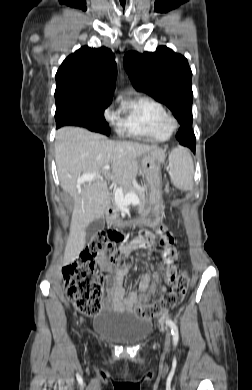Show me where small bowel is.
I'll list each match as a JSON object with an SVG mask.
<instances>
[{
	"mask_svg": "<svg viewBox=\"0 0 252 390\" xmlns=\"http://www.w3.org/2000/svg\"><path fill=\"white\" fill-rule=\"evenodd\" d=\"M144 243H157L160 245L164 256V273L168 272L170 269L176 271L174 261L178 258V251L174 245V237L171 232L165 228L160 229L158 235H154L149 231H142L138 237L128 242L122 248L129 252L135 248L141 247ZM98 264L100 268L107 273L105 277L107 296L104 301V307L118 312L133 311L139 304V295L137 292L126 293L123 281L128 274V270L117 268L106 260H99ZM173 280L174 278L168 277L159 285V296L166 292L167 285ZM149 283V277L147 275H141L138 281L139 292L149 295ZM148 323L150 324V320H148Z\"/></svg>",
	"mask_w": 252,
	"mask_h": 390,
	"instance_id": "obj_1",
	"label": "small bowel"
}]
</instances>
